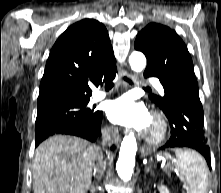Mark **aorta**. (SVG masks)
Wrapping results in <instances>:
<instances>
[{"label": "aorta", "instance_id": "obj_1", "mask_svg": "<svg viewBox=\"0 0 221 193\" xmlns=\"http://www.w3.org/2000/svg\"><path fill=\"white\" fill-rule=\"evenodd\" d=\"M129 63L133 71L141 72L146 67V57L142 52L134 51L129 56ZM136 152L137 141L134 135L124 137L120 147L119 158L116 163L118 176L124 182L129 181L132 177Z\"/></svg>", "mask_w": 221, "mask_h": 193}]
</instances>
